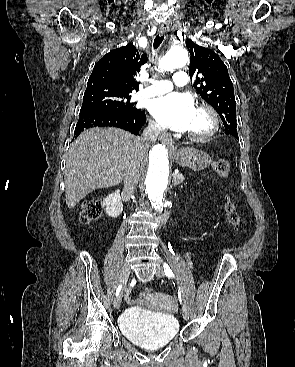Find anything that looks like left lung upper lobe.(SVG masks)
Segmentation results:
<instances>
[{"instance_id": "1", "label": "left lung upper lobe", "mask_w": 295, "mask_h": 367, "mask_svg": "<svg viewBox=\"0 0 295 367\" xmlns=\"http://www.w3.org/2000/svg\"><path fill=\"white\" fill-rule=\"evenodd\" d=\"M186 46L191 55L189 75H197L194 88L220 115L225 131L237 133L234 89L226 65L214 51L191 39L186 41Z\"/></svg>"}]
</instances>
